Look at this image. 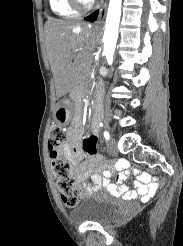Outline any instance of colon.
Masks as SVG:
<instances>
[{
	"label": "colon",
	"mask_w": 183,
	"mask_h": 246,
	"mask_svg": "<svg viewBox=\"0 0 183 246\" xmlns=\"http://www.w3.org/2000/svg\"><path fill=\"white\" fill-rule=\"evenodd\" d=\"M56 116L58 122H64L66 119L65 109H58ZM87 136L83 139L85 151L89 154V157H98L99 153L95 133H88ZM65 141L66 134L63 128L60 125L52 126L49 131L48 140V147L52 158V172L56 179V185L62 202L65 206L74 208L80 203V191L76 180L70 175V164L62 155V148Z\"/></svg>",
	"instance_id": "5ec220e1"
}]
</instances>
